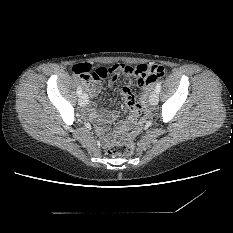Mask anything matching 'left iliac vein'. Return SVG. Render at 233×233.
<instances>
[{
	"instance_id": "1",
	"label": "left iliac vein",
	"mask_w": 233,
	"mask_h": 233,
	"mask_svg": "<svg viewBox=\"0 0 233 233\" xmlns=\"http://www.w3.org/2000/svg\"><path fill=\"white\" fill-rule=\"evenodd\" d=\"M149 102L151 105H156L158 103V93L153 91L149 96Z\"/></svg>"
}]
</instances>
